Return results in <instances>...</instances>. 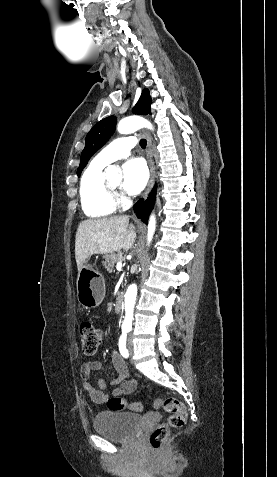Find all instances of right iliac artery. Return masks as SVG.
<instances>
[{
  "label": "right iliac artery",
  "instance_id": "1",
  "mask_svg": "<svg viewBox=\"0 0 277 477\" xmlns=\"http://www.w3.org/2000/svg\"><path fill=\"white\" fill-rule=\"evenodd\" d=\"M126 332L127 331L124 330L120 339H119V350H120V353L123 357L128 358L129 353H128V350L126 348V336H127Z\"/></svg>",
  "mask_w": 277,
  "mask_h": 477
}]
</instances>
